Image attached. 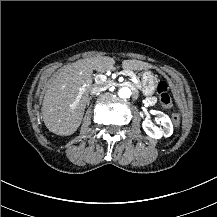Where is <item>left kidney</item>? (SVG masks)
Instances as JSON below:
<instances>
[{
	"mask_svg": "<svg viewBox=\"0 0 217 217\" xmlns=\"http://www.w3.org/2000/svg\"><path fill=\"white\" fill-rule=\"evenodd\" d=\"M154 114L157 115V121L162 126L160 129L157 125H155L149 119H146L142 122L143 131L153 139H161L162 137H170L173 134V124L166 114L160 111H154Z\"/></svg>",
	"mask_w": 217,
	"mask_h": 217,
	"instance_id": "1",
	"label": "left kidney"
}]
</instances>
